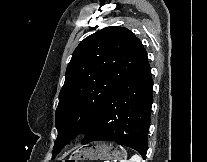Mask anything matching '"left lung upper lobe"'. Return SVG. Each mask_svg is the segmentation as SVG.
<instances>
[{
	"label": "left lung upper lobe",
	"instance_id": "obj_1",
	"mask_svg": "<svg viewBox=\"0 0 207 162\" xmlns=\"http://www.w3.org/2000/svg\"><path fill=\"white\" fill-rule=\"evenodd\" d=\"M146 56L141 41L127 28L118 26L99 30L77 46L59 94L53 155L68 139L88 129L105 101Z\"/></svg>",
	"mask_w": 207,
	"mask_h": 162
}]
</instances>
